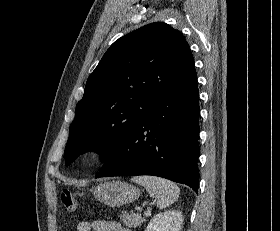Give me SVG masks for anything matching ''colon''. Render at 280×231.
<instances>
[{"label":"colon","mask_w":280,"mask_h":231,"mask_svg":"<svg viewBox=\"0 0 280 231\" xmlns=\"http://www.w3.org/2000/svg\"><path fill=\"white\" fill-rule=\"evenodd\" d=\"M60 200L63 206L68 210H73L77 205L75 196L67 190H63L60 195Z\"/></svg>","instance_id":"obj_1"}]
</instances>
